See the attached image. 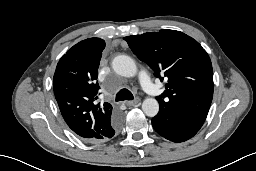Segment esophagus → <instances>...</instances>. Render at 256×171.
<instances>
[{"instance_id": "obj_1", "label": "esophagus", "mask_w": 256, "mask_h": 171, "mask_svg": "<svg viewBox=\"0 0 256 171\" xmlns=\"http://www.w3.org/2000/svg\"><path fill=\"white\" fill-rule=\"evenodd\" d=\"M139 102H140V99H139V98H135V100H133V101H126L125 104H126L127 106H135V105H137Z\"/></svg>"}]
</instances>
